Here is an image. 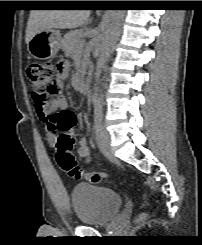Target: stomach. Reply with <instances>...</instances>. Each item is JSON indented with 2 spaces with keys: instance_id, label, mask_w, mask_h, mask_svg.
<instances>
[{
  "instance_id": "obj_1",
  "label": "stomach",
  "mask_w": 202,
  "mask_h": 245,
  "mask_svg": "<svg viewBox=\"0 0 202 245\" xmlns=\"http://www.w3.org/2000/svg\"><path fill=\"white\" fill-rule=\"evenodd\" d=\"M61 35L54 29L38 32L28 43L29 53L36 59L46 60L54 57L61 47Z\"/></svg>"
}]
</instances>
